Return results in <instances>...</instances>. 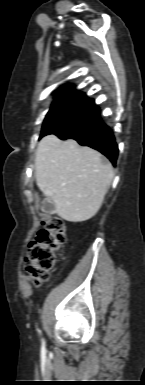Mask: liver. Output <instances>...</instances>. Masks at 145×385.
Here are the masks:
<instances>
[{
  "instance_id": "6515ba94",
  "label": "liver",
  "mask_w": 145,
  "mask_h": 385,
  "mask_svg": "<svg viewBox=\"0 0 145 385\" xmlns=\"http://www.w3.org/2000/svg\"><path fill=\"white\" fill-rule=\"evenodd\" d=\"M36 183L54 212L69 222L86 221L101 208L114 177L111 163L98 151L54 134L39 142Z\"/></svg>"
}]
</instances>
